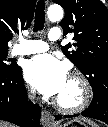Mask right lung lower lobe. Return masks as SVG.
Masks as SVG:
<instances>
[{
	"instance_id": "1",
	"label": "right lung lower lobe",
	"mask_w": 108,
	"mask_h": 127,
	"mask_svg": "<svg viewBox=\"0 0 108 127\" xmlns=\"http://www.w3.org/2000/svg\"><path fill=\"white\" fill-rule=\"evenodd\" d=\"M41 109L28 102L22 69H0V119L22 127H39Z\"/></svg>"
}]
</instances>
